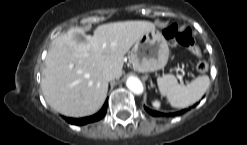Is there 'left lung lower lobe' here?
<instances>
[{"label":"left lung lower lobe","mask_w":247,"mask_h":145,"mask_svg":"<svg viewBox=\"0 0 247 145\" xmlns=\"http://www.w3.org/2000/svg\"><path fill=\"white\" fill-rule=\"evenodd\" d=\"M144 108H145V110H146L148 113H150V114L153 115V116H160V115H161V113L156 112V111H152V110H150V109L147 108V107H144ZM184 111H185V110H184ZM184 111H181V112H179V113H170V114H168V115H170V116H175V115L180 114V113H182V112H184Z\"/></svg>","instance_id":"obj_1"}]
</instances>
